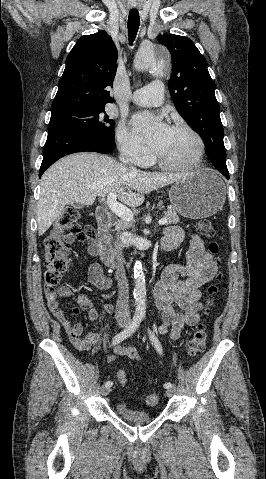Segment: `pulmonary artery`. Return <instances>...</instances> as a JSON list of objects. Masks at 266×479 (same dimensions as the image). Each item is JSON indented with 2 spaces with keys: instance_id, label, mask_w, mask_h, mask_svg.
I'll list each match as a JSON object with an SVG mask.
<instances>
[{
  "instance_id": "1",
  "label": "pulmonary artery",
  "mask_w": 266,
  "mask_h": 479,
  "mask_svg": "<svg viewBox=\"0 0 266 479\" xmlns=\"http://www.w3.org/2000/svg\"><path fill=\"white\" fill-rule=\"evenodd\" d=\"M164 86L161 81H153L149 85L135 91L130 100L140 106L154 107L162 104Z\"/></svg>"
}]
</instances>
